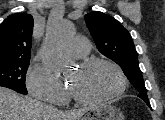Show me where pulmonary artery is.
Masks as SVG:
<instances>
[{"instance_id":"pulmonary-artery-1","label":"pulmonary artery","mask_w":165,"mask_h":120,"mask_svg":"<svg viewBox=\"0 0 165 120\" xmlns=\"http://www.w3.org/2000/svg\"><path fill=\"white\" fill-rule=\"evenodd\" d=\"M89 49H90L89 43L81 37L74 38L66 46V52L76 58H81L87 55Z\"/></svg>"}]
</instances>
